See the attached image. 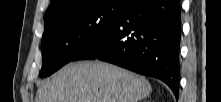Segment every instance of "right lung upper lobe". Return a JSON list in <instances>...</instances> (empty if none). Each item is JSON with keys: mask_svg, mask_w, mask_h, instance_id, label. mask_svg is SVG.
Listing matches in <instances>:
<instances>
[{"mask_svg": "<svg viewBox=\"0 0 221 102\" xmlns=\"http://www.w3.org/2000/svg\"><path fill=\"white\" fill-rule=\"evenodd\" d=\"M83 1V0H51L50 6L46 10L44 15V21L51 18L55 14L59 13L60 11L70 7L73 3Z\"/></svg>", "mask_w": 221, "mask_h": 102, "instance_id": "obj_1", "label": "right lung upper lobe"}]
</instances>
